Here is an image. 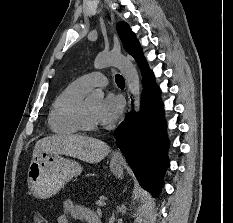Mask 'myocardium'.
Instances as JSON below:
<instances>
[{
	"label": "myocardium",
	"mask_w": 233,
	"mask_h": 223,
	"mask_svg": "<svg viewBox=\"0 0 233 223\" xmlns=\"http://www.w3.org/2000/svg\"><path fill=\"white\" fill-rule=\"evenodd\" d=\"M79 125L83 131L93 132L99 129L98 122L93 121L88 113L87 101H84L79 110Z\"/></svg>",
	"instance_id": "1"
}]
</instances>
